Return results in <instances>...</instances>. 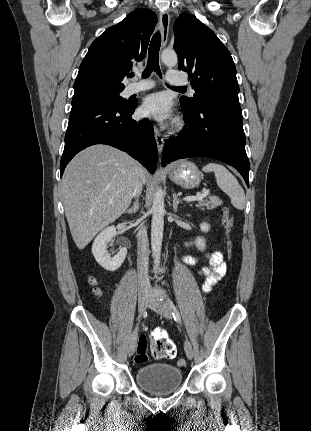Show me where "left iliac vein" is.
Returning <instances> with one entry per match:
<instances>
[{
  "mask_svg": "<svg viewBox=\"0 0 311 431\" xmlns=\"http://www.w3.org/2000/svg\"><path fill=\"white\" fill-rule=\"evenodd\" d=\"M148 306H149V308H151L155 312L164 316L166 319L172 318V311H171V307L168 304V302H166L164 300L149 301ZM184 349H185L187 357L189 359H192L194 352H193V348H192L190 341L187 339L184 342Z\"/></svg>",
  "mask_w": 311,
  "mask_h": 431,
  "instance_id": "obj_1",
  "label": "left iliac vein"
}]
</instances>
